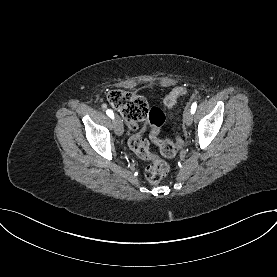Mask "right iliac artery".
<instances>
[{
    "mask_svg": "<svg viewBox=\"0 0 277 277\" xmlns=\"http://www.w3.org/2000/svg\"><path fill=\"white\" fill-rule=\"evenodd\" d=\"M106 114L110 117V118H114V114L111 110H107Z\"/></svg>",
    "mask_w": 277,
    "mask_h": 277,
    "instance_id": "1",
    "label": "right iliac artery"
}]
</instances>
